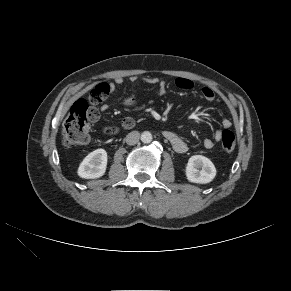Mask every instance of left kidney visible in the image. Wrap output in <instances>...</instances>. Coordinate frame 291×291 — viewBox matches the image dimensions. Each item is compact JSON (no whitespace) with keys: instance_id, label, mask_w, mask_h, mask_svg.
<instances>
[{"instance_id":"5707ae66","label":"left kidney","mask_w":291,"mask_h":291,"mask_svg":"<svg viewBox=\"0 0 291 291\" xmlns=\"http://www.w3.org/2000/svg\"><path fill=\"white\" fill-rule=\"evenodd\" d=\"M186 177L190 182L206 184L216 176V168L212 161L202 155L191 156L186 166Z\"/></svg>"}]
</instances>
